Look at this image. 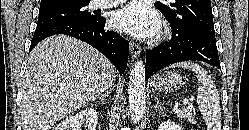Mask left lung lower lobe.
Listing matches in <instances>:
<instances>
[{
	"mask_svg": "<svg viewBox=\"0 0 249 130\" xmlns=\"http://www.w3.org/2000/svg\"><path fill=\"white\" fill-rule=\"evenodd\" d=\"M169 42L147 50L145 77L149 79L162 68L177 62L198 60L220 67L215 34L200 30L180 32L173 26Z\"/></svg>",
	"mask_w": 249,
	"mask_h": 130,
	"instance_id": "obj_1",
	"label": "left lung lower lobe"
}]
</instances>
